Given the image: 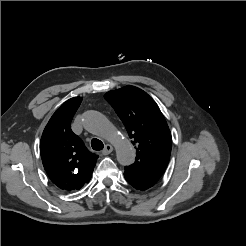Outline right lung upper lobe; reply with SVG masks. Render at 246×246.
Wrapping results in <instances>:
<instances>
[{
    "mask_svg": "<svg viewBox=\"0 0 246 246\" xmlns=\"http://www.w3.org/2000/svg\"><path fill=\"white\" fill-rule=\"evenodd\" d=\"M81 101V97H74L62 104L46 125L40 141V154L48 177L66 191L79 190L89 182L98 157L87 150L70 128Z\"/></svg>",
    "mask_w": 246,
    "mask_h": 246,
    "instance_id": "obj_1",
    "label": "right lung upper lobe"
}]
</instances>
